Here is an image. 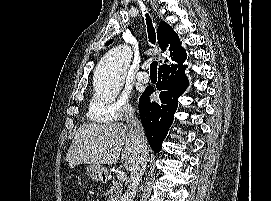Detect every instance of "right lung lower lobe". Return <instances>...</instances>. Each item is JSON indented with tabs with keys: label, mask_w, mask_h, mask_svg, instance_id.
<instances>
[{
	"label": "right lung lower lobe",
	"mask_w": 271,
	"mask_h": 201,
	"mask_svg": "<svg viewBox=\"0 0 271 201\" xmlns=\"http://www.w3.org/2000/svg\"><path fill=\"white\" fill-rule=\"evenodd\" d=\"M185 51L176 60L162 65L158 70V83L156 85L160 93V103L151 102L149 96L154 88L147 87L139 100V113L144 125L148 142L155 153L160 152L162 142L167 136L172 125L174 113L177 109V100L184 93L188 85L184 73L186 66Z\"/></svg>",
	"instance_id": "1"
}]
</instances>
